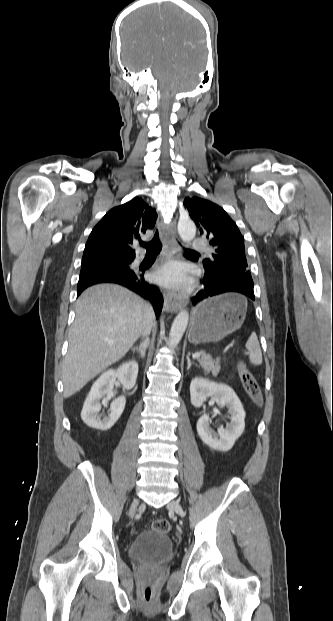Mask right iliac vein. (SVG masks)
I'll return each instance as SVG.
<instances>
[{
    "label": "right iliac vein",
    "instance_id": "right-iliac-vein-1",
    "mask_svg": "<svg viewBox=\"0 0 333 621\" xmlns=\"http://www.w3.org/2000/svg\"><path fill=\"white\" fill-rule=\"evenodd\" d=\"M138 505H139V500L138 499L134 500L132 505H131L130 512H129L130 517L134 516V514H135V512L137 510Z\"/></svg>",
    "mask_w": 333,
    "mask_h": 621
}]
</instances>
